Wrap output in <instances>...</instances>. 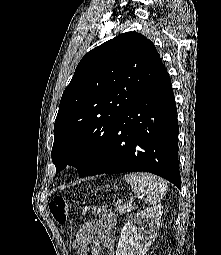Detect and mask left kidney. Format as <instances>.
<instances>
[{
  "label": "left kidney",
  "mask_w": 221,
  "mask_h": 255,
  "mask_svg": "<svg viewBox=\"0 0 221 255\" xmlns=\"http://www.w3.org/2000/svg\"><path fill=\"white\" fill-rule=\"evenodd\" d=\"M162 209L156 205L131 216L122 229L116 255H145L159 230Z\"/></svg>",
  "instance_id": "obj_1"
}]
</instances>
